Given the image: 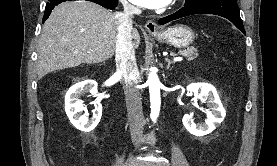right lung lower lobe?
<instances>
[{"instance_id":"98d812e1","label":"right lung lower lobe","mask_w":277,"mask_h":166,"mask_svg":"<svg viewBox=\"0 0 277 166\" xmlns=\"http://www.w3.org/2000/svg\"><path fill=\"white\" fill-rule=\"evenodd\" d=\"M65 1L67 0H49L45 9L46 11L44 13L43 22L48 18V16L51 14V11L54 9L56 5ZM88 1L95 2L108 9H114L118 4V0H88Z\"/></svg>"}]
</instances>
